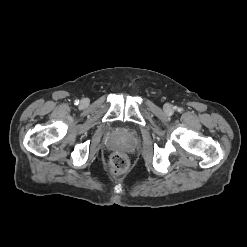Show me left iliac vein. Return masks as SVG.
Listing matches in <instances>:
<instances>
[{
	"mask_svg": "<svg viewBox=\"0 0 247 247\" xmlns=\"http://www.w3.org/2000/svg\"><path fill=\"white\" fill-rule=\"evenodd\" d=\"M164 110H165L167 113H171V112H172V106H171L170 104H165Z\"/></svg>",
	"mask_w": 247,
	"mask_h": 247,
	"instance_id": "4c4485c4",
	"label": "left iliac vein"
}]
</instances>
